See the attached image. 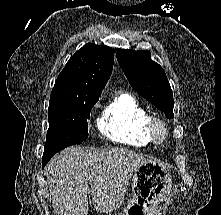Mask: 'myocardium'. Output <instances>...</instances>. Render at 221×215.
Returning <instances> with one entry per match:
<instances>
[{"label":"myocardium","instance_id":"myocardium-1","mask_svg":"<svg viewBox=\"0 0 221 215\" xmlns=\"http://www.w3.org/2000/svg\"><path fill=\"white\" fill-rule=\"evenodd\" d=\"M148 132L153 142L162 143L168 136V126L163 119L156 116H150L148 121Z\"/></svg>","mask_w":221,"mask_h":215}]
</instances>
